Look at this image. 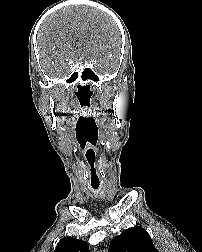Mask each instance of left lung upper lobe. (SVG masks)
I'll return each mask as SVG.
<instances>
[{"mask_svg":"<svg viewBox=\"0 0 202 252\" xmlns=\"http://www.w3.org/2000/svg\"><path fill=\"white\" fill-rule=\"evenodd\" d=\"M110 252H158L150 235L140 226L129 228L111 241Z\"/></svg>","mask_w":202,"mask_h":252,"instance_id":"1","label":"left lung upper lobe"}]
</instances>
